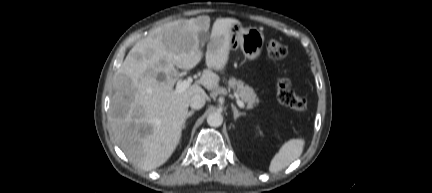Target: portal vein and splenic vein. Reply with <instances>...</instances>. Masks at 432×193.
I'll list each match as a JSON object with an SVG mask.
<instances>
[{
  "instance_id": "portal-vein-and-splenic-vein-1",
  "label": "portal vein and splenic vein",
  "mask_w": 432,
  "mask_h": 193,
  "mask_svg": "<svg viewBox=\"0 0 432 193\" xmlns=\"http://www.w3.org/2000/svg\"><path fill=\"white\" fill-rule=\"evenodd\" d=\"M192 82H193L192 77H188L187 79H185L183 81L177 82L175 91L177 93H181V92L185 91L187 88H189V86L191 85ZM236 102L240 108H245L244 103L239 98L236 99Z\"/></svg>"
}]
</instances>
